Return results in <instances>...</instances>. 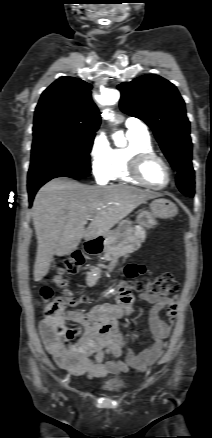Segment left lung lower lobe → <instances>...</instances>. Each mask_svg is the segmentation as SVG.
<instances>
[{
	"instance_id": "1",
	"label": "left lung lower lobe",
	"mask_w": 212,
	"mask_h": 438,
	"mask_svg": "<svg viewBox=\"0 0 212 438\" xmlns=\"http://www.w3.org/2000/svg\"><path fill=\"white\" fill-rule=\"evenodd\" d=\"M177 186L179 190L189 196L193 197L194 195V170L192 167V162L187 161L184 164L180 165L177 170Z\"/></svg>"
}]
</instances>
